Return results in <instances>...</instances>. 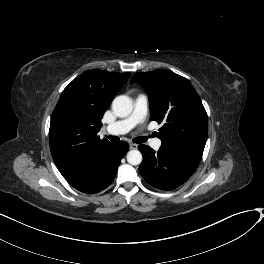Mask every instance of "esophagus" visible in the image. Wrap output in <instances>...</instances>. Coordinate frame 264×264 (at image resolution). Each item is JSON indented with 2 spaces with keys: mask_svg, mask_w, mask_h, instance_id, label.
Masks as SVG:
<instances>
[{
  "mask_svg": "<svg viewBox=\"0 0 264 264\" xmlns=\"http://www.w3.org/2000/svg\"><path fill=\"white\" fill-rule=\"evenodd\" d=\"M129 147H130V149H137L138 146H137V144L130 143Z\"/></svg>",
  "mask_w": 264,
  "mask_h": 264,
  "instance_id": "34e87169",
  "label": "esophagus"
}]
</instances>
